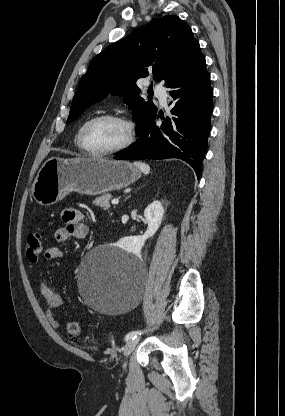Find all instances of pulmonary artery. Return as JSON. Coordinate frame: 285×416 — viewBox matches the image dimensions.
Listing matches in <instances>:
<instances>
[{"mask_svg":"<svg viewBox=\"0 0 285 416\" xmlns=\"http://www.w3.org/2000/svg\"><path fill=\"white\" fill-rule=\"evenodd\" d=\"M154 93L162 106L167 107L168 92L164 85L158 84L153 87Z\"/></svg>","mask_w":285,"mask_h":416,"instance_id":"e3ab8cb5","label":"pulmonary artery"}]
</instances>
